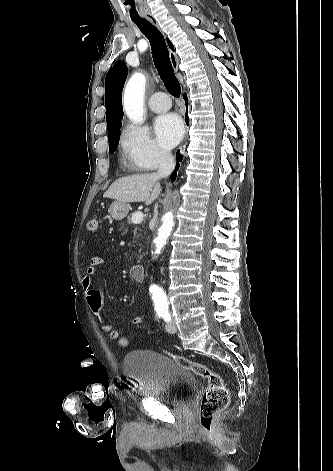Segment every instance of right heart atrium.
<instances>
[{"mask_svg": "<svg viewBox=\"0 0 333 471\" xmlns=\"http://www.w3.org/2000/svg\"><path fill=\"white\" fill-rule=\"evenodd\" d=\"M120 147L125 163L134 170H155L171 160L169 151L156 141L150 131L134 123L123 126Z\"/></svg>", "mask_w": 333, "mask_h": 471, "instance_id": "1", "label": "right heart atrium"}]
</instances>
